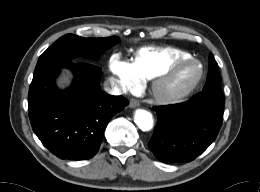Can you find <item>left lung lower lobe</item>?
Here are the masks:
<instances>
[{"instance_id":"left-lung-lower-lobe-1","label":"left lung lower lobe","mask_w":260,"mask_h":192,"mask_svg":"<svg viewBox=\"0 0 260 192\" xmlns=\"http://www.w3.org/2000/svg\"><path fill=\"white\" fill-rule=\"evenodd\" d=\"M158 123L148 144L163 162H190L215 140L223 121L221 90L202 91L190 100L154 107Z\"/></svg>"}]
</instances>
